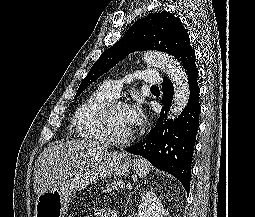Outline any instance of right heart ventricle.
I'll return each instance as SVG.
<instances>
[{"label": "right heart ventricle", "instance_id": "1", "mask_svg": "<svg viewBox=\"0 0 255 217\" xmlns=\"http://www.w3.org/2000/svg\"><path fill=\"white\" fill-rule=\"evenodd\" d=\"M113 99L114 97L100 86L77 107L71 125L78 137L94 141L103 140L98 130L96 116L98 111Z\"/></svg>", "mask_w": 255, "mask_h": 217}]
</instances>
